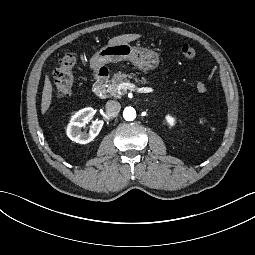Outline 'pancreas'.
<instances>
[{
    "label": "pancreas",
    "instance_id": "1",
    "mask_svg": "<svg viewBox=\"0 0 255 255\" xmlns=\"http://www.w3.org/2000/svg\"><path fill=\"white\" fill-rule=\"evenodd\" d=\"M129 79H133L135 83H145L149 84L150 82L146 78L139 79L135 75L129 73L125 74L123 72H116L114 76L111 78V82L109 83V87L107 88L108 93L114 97H118L117 95V86L121 83L129 82ZM126 91H122V94H125Z\"/></svg>",
    "mask_w": 255,
    "mask_h": 255
}]
</instances>
